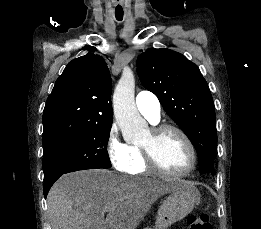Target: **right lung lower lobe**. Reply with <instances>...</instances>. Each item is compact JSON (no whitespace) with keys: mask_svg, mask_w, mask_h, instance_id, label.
I'll return each mask as SVG.
<instances>
[{"mask_svg":"<svg viewBox=\"0 0 261 229\" xmlns=\"http://www.w3.org/2000/svg\"><path fill=\"white\" fill-rule=\"evenodd\" d=\"M63 174H59V175H55L47 180L44 181V184H43V191H44V197L46 198L47 197V194L51 188V186L54 184V182L60 177L62 176Z\"/></svg>","mask_w":261,"mask_h":229,"instance_id":"98d812e1","label":"right lung lower lobe"}]
</instances>
